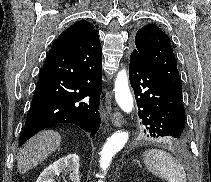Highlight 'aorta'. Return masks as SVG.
<instances>
[{
	"mask_svg": "<svg viewBox=\"0 0 211 182\" xmlns=\"http://www.w3.org/2000/svg\"><path fill=\"white\" fill-rule=\"evenodd\" d=\"M114 91L119 107L126 113L132 112L133 98L128 86V76L125 69L118 72ZM128 138V132L118 131L107 140L100 155V167L102 170H106L109 167L113 156L125 146Z\"/></svg>",
	"mask_w": 211,
	"mask_h": 182,
	"instance_id": "1",
	"label": "aorta"
}]
</instances>
